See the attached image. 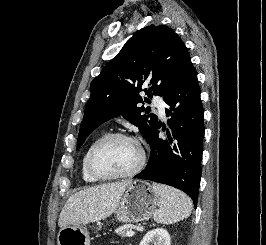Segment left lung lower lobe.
Instances as JSON below:
<instances>
[{
	"instance_id": "0a47b994",
	"label": "left lung lower lobe",
	"mask_w": 266,
	"mask_h": 245,
	"mask_svg": "<svg viewBox=\"0 0 266 245\" xmlns=\"http://www.w3.org/2000/svg\"><path fill=\"white\" fill-rule=\"evenodd\" d=\"M168 140L159 138L160 122L150 133L151 154L146 168L134 178L152 180L187 193L197 205L204 138V109L197 72L188 57L166 89ZM164 130V129H162Z\"/></svg>"
}]
</instances>
